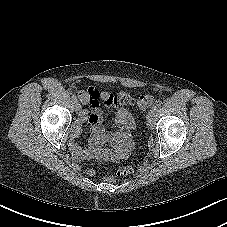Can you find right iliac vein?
Masks as SVG:
<instances>
[{
  "label": "right iliac vein",
  "mask_w": 227,
  "mask_h": 227,
  "mask_svg": "<svg viewBox=\"0 0 227 227\" xmlns=\"http://www.w3.org/2000/svg\"><path fill=\"white\" fill-rule=\"evenodd\" d=\"M74 107H75L76 113H79L80 110H81V104H80L78 101H76V102L74 103Z\"/></svg>",
  "instance_id": "obj_1"
}]
</instances>
